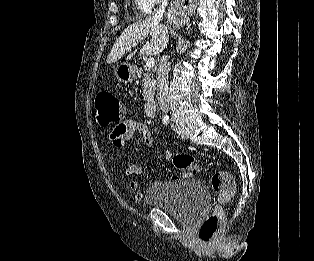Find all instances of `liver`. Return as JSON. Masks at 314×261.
<instances>
[{
    "label": "liver",
    "mask_w": 314,
    "mask_h": 261,
    "mask_svg": "<svg viewBox=\"0 0 314 261\" xmlns=\"http://www.w3.org/2000/svg\"><path fill=\"white\" fill-rule=\"evenodd\" d=\"M150 35L151 40L147 42L140 50V54L158 55L161 53L169 41L167 27L159 23L154 17H149L143 21L133 23L127 27L121 36L116 40L107 57V63L111 64L120 60L127 50V47L136 43L138 40H143ZM130 53L127 59L135 55Z\"/></svg>",
    "instance_id": "liver-1"
}]
</instances>
